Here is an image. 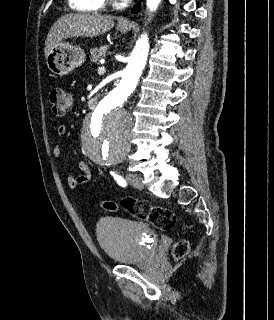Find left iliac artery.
Listing matches in <instances>:
<instances>
[{
    "label": "left iliac artery",
    "instance_id": "left-iliac-artery-1",
    "mask_svg": "<svg viewBox=\"0 0 274 320\" xmlns=\"http://www.w3.org/2000/svg\"><path fill=\"white\" fill-rule=\"evenodd\" d=\"M111 175L114 177V179L116 180V182L122 186L125 187L127 185L126 181L124 180V178L120 175L115 174L114 172H110Z\"/></svg>",
    "mask_w": 274,
    "mask_h": 320
}]
</instances>
